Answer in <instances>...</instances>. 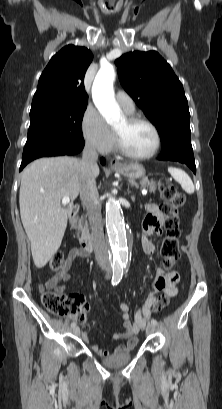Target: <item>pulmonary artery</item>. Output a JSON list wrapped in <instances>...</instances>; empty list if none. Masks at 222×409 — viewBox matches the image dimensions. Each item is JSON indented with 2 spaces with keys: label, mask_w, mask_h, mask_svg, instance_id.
<instances>
[{
  "label": "pulmonary artery",
  "mask_w": 222,
  "mask_h": 409,
  "mask_svg": "<svg viewBox=\"0 0 222 409\" xmlns=\"http://www.w3.org/2000/svg\"><path fill=\"white\" fill-rule=\"evenodd\" d=\"M118 105L126 112L132 113L135 110L133 99L124 91L118 90L115 94Z\"/></svg>",
  "instance_id": "1"
}]
</instances>
